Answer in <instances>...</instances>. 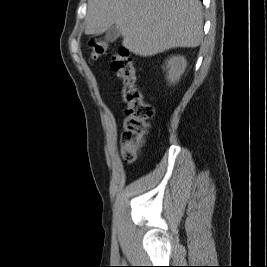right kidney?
<instances>
[{"label": "right kidney", "instance_id": "right-kidney-1", "mask_svg": "<svg viewBox=\"0 0 267 267\" xmlns=\"http://www.w3.org/2000/svg\"><path fill=\"white\" fill-rule=\"evenodd\" d=\"M187 66L186 59L183 56H172L166 62L167 80L169 84H175L179 81Z\"/></svg>", "mask_w": 267, "mask_h": 267}]
</instances>
